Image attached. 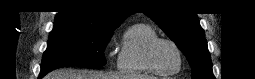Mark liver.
Returning a JSON list of instances; mask_svg holds the SVG:
<instances>
[{"instance_id":"1","label":"liver","mask_w":255,"mask_h":79,"mask_svg":"<svg viewBox=\"0 0 255 79\" xmlns=\"http://www.w3.org/2000/svg\"><path fill=\"white\" fill-rule=\"evenodd\" d=\"M45 79H155L151 76H122L114 73H104L94 70H77L63 68L45 76Z\"/></svg>"}]
</instances>
